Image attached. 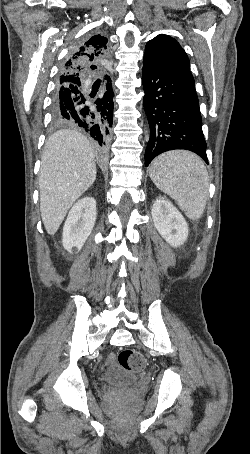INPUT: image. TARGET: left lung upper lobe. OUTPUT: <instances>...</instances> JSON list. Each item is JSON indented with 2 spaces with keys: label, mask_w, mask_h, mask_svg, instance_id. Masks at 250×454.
Instances as JSON below:
<instances>
[{
  "label": "left lung upper lobe",
  "mask_w": 250,
  "mask_h": 454,
  "mask_svg": "<svg viewBox=\"0 0 250 454\" xmlns=\"http://www.w3.org/2000/svg\"><path fill=\"white\" fill-rule=\"evenodd\" d=\"M144 57L168 68L190 70V61L180 44L168 35H158L148 41Z\"/></svg>",
  "instance_id": "5c2ea615"
}]
</instances>
